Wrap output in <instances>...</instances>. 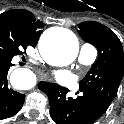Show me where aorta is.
<instances>
[{
  "instance_id": "aorta-1",
  "label": "aorta",
  "mask_w": 124,
  "mask_h": 124,
  "mask_svg": "<svg viewBox=\"0 0 124 124\" xmlns=\"http://www.w3.org/2000/svg\"><path fill=\"white\" fill-rule=\"evenodd\" d=\"M79 44L76 36L66 29L46 30L39 41V51L44 60L53 66H66L77 57ZM26 69L15 70L11 75V81L20 88H26L24 75Z\"/></svg>"
}]
</instances>
